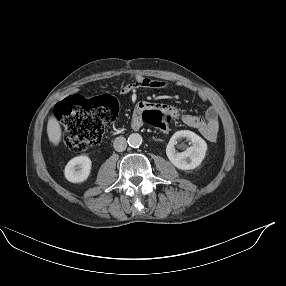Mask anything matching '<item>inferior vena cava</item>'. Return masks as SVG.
I'll return each instance as SVG.
<instances>
[{
  "label": "inferior vena cava",
  "mask_w": 286,
  "mask_h": 286,
  "mask_svg": "<svg viewBox=\"0 0 286 286\" xmlns=\"http://www.w3.org/2000/svg\"><path fill=\"white\" fill-rule=\"evenodd\" d=\"M114 149L118 152H122L126 149L127 147V141L124 137L119 136L116 137L113 143Z\"/></svg>",
  "instance_id": "inferior-vena-cava-1"
}]
</instances>
